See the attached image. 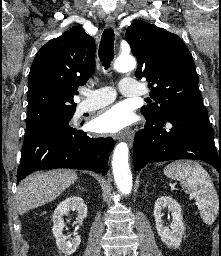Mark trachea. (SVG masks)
I'll return each instance as SVG.
<instances>
[{"label":"trachea","mask_w":221,"mask_h":256,"mask_svg":"<svg viewBox=\"0 0 221 256\" xmlns=\"http://www.w3.org/2000/svg\"><path fill=\"white\" fill-rule=\"evenodd\" d=\"M98 53L105 69H108L114 58V31L112 29L104 30Z\"/></svg>","instance_id":"3493384b"}]
</instances>
